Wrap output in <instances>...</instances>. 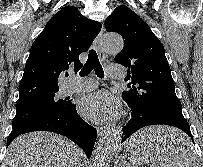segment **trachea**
<instances>
[{"label":"trachea","mask_w":203,"mask_h":167,"mask_svg":"<svg viewBox=\"0 0 203 167\" xmlns=\"http://www.w3.org/2000/svg\"><path fill=\"white\" fill-rule=\"evenodd\" d=\"M94 70L95 74L99 78H104V71L103 68L99 62L98 55L94 49H91L88 54V59L84 65V67L80 71V76L85 77L91 73V71Z\"/></svg>","instance_id":"obj_1"}]
</instances>
